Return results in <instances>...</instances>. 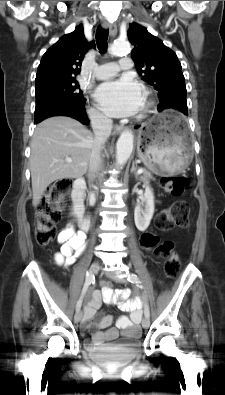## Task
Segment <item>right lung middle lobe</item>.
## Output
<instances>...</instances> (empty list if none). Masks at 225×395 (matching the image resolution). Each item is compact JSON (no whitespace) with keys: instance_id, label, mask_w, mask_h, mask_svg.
Returning a JSON list of instances; mask_svg holds the SVG:
<instances>
[{"instance_id":"dd1d6c3e","label":"right lung middle lobe","mask_w":225,"mask_h":395,"mask_svg":"<svg viewBox=\"0 0 225 395\" xmlns=\"http://www.w3.org/2000/svg\"><path fill=\"white\" fill-rule=\"evenodd\" d=\"M76 79L58 80L36 85V108L39 112L45 107L63 100H85Z\"/></svg>"}]
</instances>
